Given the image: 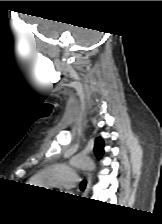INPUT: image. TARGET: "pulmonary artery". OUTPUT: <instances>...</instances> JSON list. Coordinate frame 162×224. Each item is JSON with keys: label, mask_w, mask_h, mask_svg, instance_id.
Here are the masks:
<instances>
[{"label": "pulmonary artery", "mask_w": 162, "mask_h": 224, "mask_svg": "<svg viewBox=\"0 0 162 224\" xmlns=\"http://www.w3.org/2000/svg\"><path fill=\"white\" fill-rule=\"evenodd\" d=\"M43 182L52 183L58 187H75L78 182L77 173L75 170L66 165L55 166L43 171Z\"/></svg>", "instance_id": "1"}]
</instances>
